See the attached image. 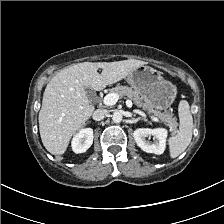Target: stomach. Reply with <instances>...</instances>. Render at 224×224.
Segmentation results:
<instances>
[{
	"label": "stomach",
	"instance_id": "stomach-1",
	"mask_svg": "<svg viewBox=\"0 0 224 224\" xmlns=\"http://www.w3.org/2000/svg\"><path fill=\"white\" fill-rule=\"evenodd\" d=\"M127 82L141 98L157 110H166L174 102L177 89L162 73L150 66L142 65L127 76Z\"/></svg>",
	"mask_w": 224,
	"mask_h": 224
}]
</instances>
